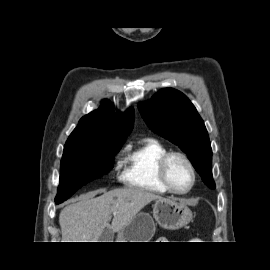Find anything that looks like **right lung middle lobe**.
<instances>
[{"label":"right lung middle lobe","instance_id":"right-lung-middle-lobe-1","mask_svg":"<svg viewBox=\"0 0 270 270\" xmlns=\"http://www.w3.org/2000/svg\"><path fill=\"white\" fill-rule=\"evenodd\" d=\"M124 142L110 144L66 143L55 202L67 200L80 187L113 168L115 154Z\"/></svg>","mask_w":270,"mask_h":270}]
</instances>
